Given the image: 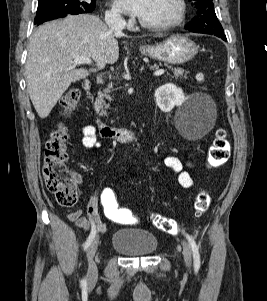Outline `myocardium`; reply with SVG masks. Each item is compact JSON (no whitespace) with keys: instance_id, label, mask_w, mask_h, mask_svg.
<instances>
[{"instance_id":"obj_1","label":"myocardium","mask_w":267,"mask_h":301,"mask_svg":"<svg viewBox=\"0 0 267 301\" xmlns=\"http://www.w3.org/2000/svg\"><path fill=\"white\" fill-rule=\"evenodd\" d=\"M176 2L178 5V12L172 20L165 23H150L139 18L138 20L139 24L146 29L156 30V31H165L177 27L184 21L186 17L187 3L185 0H176Z\"/></svg>"}]
</instances>
